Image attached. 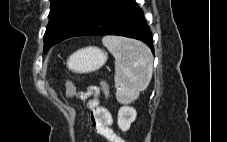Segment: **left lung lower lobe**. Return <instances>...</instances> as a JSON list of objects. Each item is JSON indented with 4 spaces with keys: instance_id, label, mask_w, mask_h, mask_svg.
<instances>
[{
    "instance_id": "1",
    "label": "left lung lower lobe",
    "mask_w": 227,
    "mask_h": 142,
    "mask_svg": "<svg viewBox=\"0 0 227 142\" xmlns=\"http://www.w3.org/2000/svg\"><path fill=\"white\" fill-rule=\"evenodd\" d=\"M120 35L144 41L154 53L150 28L135 0H110L71 37Z\"/></svg>"
}]
</instances>
